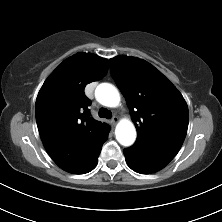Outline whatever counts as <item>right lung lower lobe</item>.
Instances as JSON below:
<instances>
[{"label":"right lung lower lobe","mask_w":222,"mask_h":222,"mask_svg":"<svg viewBox=\"0 0 222 222\" xmlns=\"http://www.w3.org/2000/svg\"><path fill=\"white\" fill-rule=\"evenodd\" d=\"M107 138L108 136L98 146L95 147L93 155L88 161L79 163L78 165L72 163L69 166L63 167L62 169L74 174H83L93 170L98 163V156L101 152L102 145L107 140Z\"/></svg>","instance_id":"obj_1"}]
</instances>
